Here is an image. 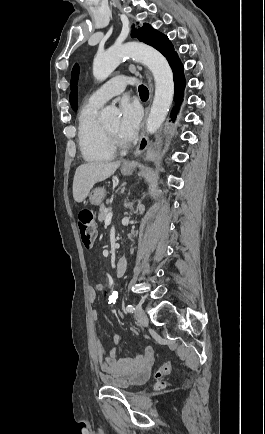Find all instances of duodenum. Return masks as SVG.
<instances>
[{
	"instance_id": "duodenum-1",
	"label": "duodenum",
	"mask_w": 265,
	"mask_h": 434,
	"mask_svg": "<svg viewBox=\"0 0 265 434\" xmlns=\"http://www.w3.org/2000/svg\"><path fill=\"white\" fill-rule=\"evenodd\" d=\"M127 264H128L127 256H121L120 258L117 259L115 264V269H114V276L116 278H121L125 274Z\"/></svg>"
}]
</instances>
